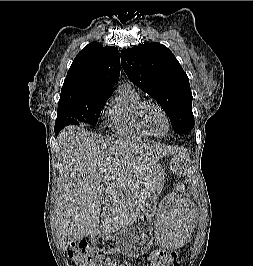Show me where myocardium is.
Masks as SVG:
<instances>
[{
    "mask_svg": "<svg viewBox=\"0 0 253 266\" xmlns=\"http://www.w3.org/2000/svg\"><path fill=\"white\" fill-rule=\"evenodd\" d=\"M152 109L159 110L163 114V116L165 117V119L167 121V131H166V133L164 135L155 134L152 131V129H151L149 123H148V114H149L150 110H152ZM140 119H141L142 126L144 127V129L147 131V133L150 136H153V137H156V138H163L170 131V128H171L170 118H169L167 112L165 111V109L162 106L158 105V104H154V103L145 104L144 107L142 108Z\"/></svg>",
    "mask_w": 253,
    "mask_h": 266,
    "instance_id": "1",
    "label": "myocardium"
}]
</instances>
